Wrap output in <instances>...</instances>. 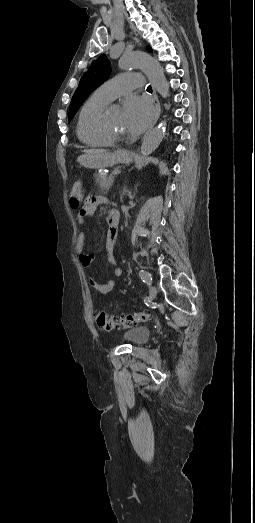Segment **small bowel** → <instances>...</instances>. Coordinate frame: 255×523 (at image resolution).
Masks as SVG:
<instances>
[{"instance_id":"obj_1","label":"small bowel","mask_w":255,"mask_h":523,"mask_svg":"<svg viewBox=\"0 0 255 523\" xmlns=\"http://www.w3.org/2000/svg\"><path fill=\"white\" fill-rule=\"evenodd\" d=\"M100 202L98 198H91L89 202L80 208L77 214V222L80 225H83L87 217L92 216L95 213L97 204ZM116 230L110 229L107 234V244H106V258L109 264L116 266L117 260L113 255L115 245H116ZM85 244V232L80 231L76 239V252L79 256L80 263L85 267L89 268L95 259L94 254L87 253L84 249ZM114 275L120 277L122 275V270L118 267L114 269ZM90 286L100 294H107L111 292L115 286V281L110 279L104 283H99L93 276H89Z\"/></svg>"}]
</instances>
